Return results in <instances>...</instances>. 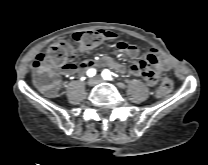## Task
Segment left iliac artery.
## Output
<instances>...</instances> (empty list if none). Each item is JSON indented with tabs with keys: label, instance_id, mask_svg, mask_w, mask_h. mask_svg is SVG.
Here are the masks:
<instances>
[{
	"label": "left iliac artery",
	"instance_id": "44dca946",
	"mask_svg": "<svg viewBox=\"0 0 208 165\" xmlns=\"http://www.w3.org/2000/svg\"><path fill=\"white\" fill-rule=\"evenodd\" d=\"M102 77L105 79V80H112V77L110 75V71L105 69L103 72H102Z\"/></svg>",
	"mask_w": 208,
	"mask_h": 165
}]
</instances>
